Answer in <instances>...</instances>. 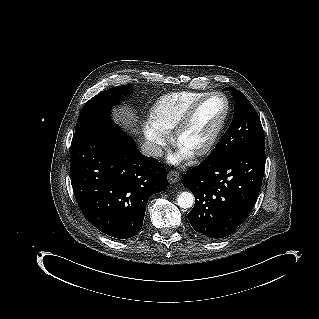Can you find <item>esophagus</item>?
<instances>
[{"label": "esophagus", "mask_w": 319, "mask_h": 319, "mask_svg": "<svg viewBox=\"0 0 319 319\" xmlns=\"http://www.w3.org/2000/svg\"><path fill=\"white\" fill-rule=\"evenodd\" d=\"M168 181L170 184H174L179 181V173L176 170H171L167 174Z\"/></svg>", "instance_id": "1"}]
</instances>
